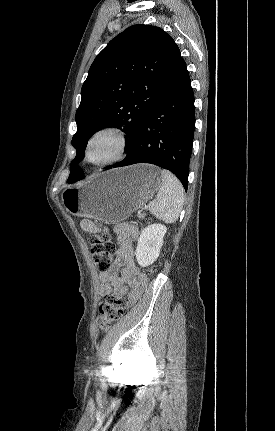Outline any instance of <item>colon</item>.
Returning a JSON list of instances; mask_svg holds the SVG:
<instances>
[{"label": "colon", "mask_w": 275, "mask_h": 431, "mask_svg": "<svg viewBox=\"0 0 275 431\" xmlns=\"http://www.w3.org/2000/svg\"><path fill=\"white\" fill-rule=\"evenodd\" d=\"M89 242L91 244V256L96 267L101 272L107 271L114 258V245L106 236H91ZM152 271L151 268L150 272ZM127 306L128 302L121 294H107L104 303L99 308L98 327L104 331L108 330L114 322L123 317Z\"/></svg>", "instance_id": "5ec220e1"}]
</instances>
